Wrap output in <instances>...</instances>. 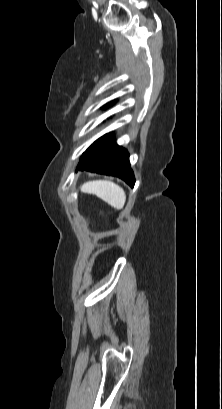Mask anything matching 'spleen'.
<instances>
[{"instance_id":"1","label":"spleen","mask_w":222,"mask_h":409,"mask_svg":"<svg viewBox=\"0 0 222 409\" xmlns=\"http://www.w3.org/2000/svg\"><path fill=\"white\" fill-rule=\"evenodd\" d=\"M81 191L96 195L117 210H121L126 202L123 188L111 181H90L82 185Z\"/></svg>"}]
</instances>
